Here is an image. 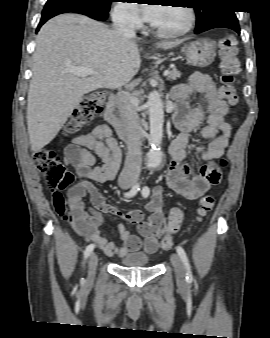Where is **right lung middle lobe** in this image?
Listing matches in <instances>:
<instances>
[{"mask_svg":"<svg viewBox=\"0 0 270 338\" xmlns=\"http://www.w3.org/2000/svg\"><path fill=\"white\" fill-rule=\"evenodd\" d=\"M114 0H48L45 7L49 6H82L101 11H109Z\"/></svg>","mask_w":270,"mask_h":338,"instance_id":"1","label":"right lung middle lobe"}]
</instances>
